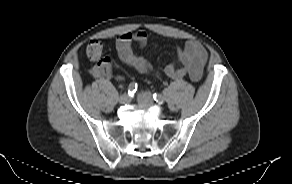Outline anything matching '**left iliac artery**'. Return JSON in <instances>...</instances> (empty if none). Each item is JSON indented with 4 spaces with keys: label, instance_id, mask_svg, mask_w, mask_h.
<instances>
[{
    "label": "left iliac artery",
    "instance_id": "1",
    "mask_svg": "<svg viewBox=\"0 0 292 184\" xmlns=\"http://www.w3.org/2000/svg\"><path fill=\"white\" fill-rule=\"evenodd\" d=\"M153 98L159 104H163L164 103V100H165L164 97L161 94H159V93H154L153 94Z\"/></svg>",
    "mask_w": 292,
    "mask_h": 184
}]
</instances>
